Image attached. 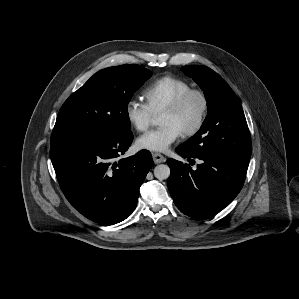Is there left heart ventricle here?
Segmentation results:
<instances>
[{
  "instance_id": "left-heart-ventricle-1",
  "label": "left heart ventricle",
  "mask_w": 299,
  "mask_h": 299,
  "mask_svg": "<svg viewBox=\"0 0 299 299\" xmlns=\"http://www.w3.org/2000/svg\"><path fill=\"white\" fill-rule=\"evenodd\" d=\"M200 108L201 103L199 98L192 97L180 112L175 114L162 113L160 124L162 126L174 125L182 132L183 129L191 126L196 121Z\"/></svg>"
}]
</instances>
